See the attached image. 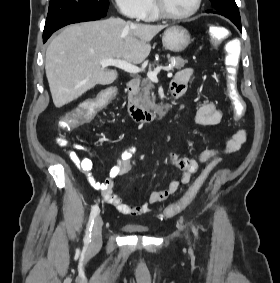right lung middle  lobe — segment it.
<instances>
[{
    "label": "right lung middle lobe",
    "mask_w": 280,
    "mask_h": 283,
    "mask_svg": "<svg viewBox=\"0 0 280 283\" xmlns=\"http://www.w3.org/2000/svg\"><path fill=\"white\" fill-rule=\"evenodd\" d=\"M109 0H50L46 22L61 17L106 16Z\"/></svg>",
    "instance_id": "right-lung-middle-lobe-1"
}]
</instances>
